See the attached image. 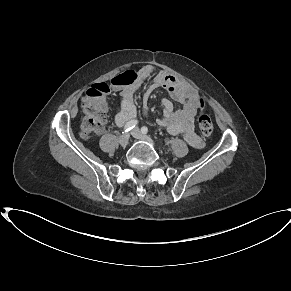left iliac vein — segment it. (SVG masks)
I'll list each match as a JSON object with an SVG mask.
<instances>
[{
  "label": "left iliac vein",
  "instance_id": "obj_1",
  "mask_svg": "<svg viewBox=\"0 0 291 291\" xmlns=\"http://www.w3.org/2000/svg\"><path fill=\"white\" fill-rule=\"evenodd\" d=\"M132 136L136 139L145 140V141H148L150 143H153L152 139L150 137L142 134L138 128H136L132 131Z\"/></svg>",
  "mask_w": 291,
  "mask_h": 291
}]
</instances>
